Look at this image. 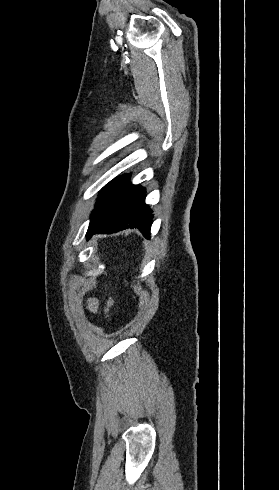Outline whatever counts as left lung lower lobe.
<instances>
[{"label":"left lung lower lobe","mask_w":279,"mask_h":490,"mask_svg":"<svg viewBox=\"0 0 279 490\" xmlns=\"http://www.w3.org/2000/svg\"><path fill=\"white\" fill-rule=\"evenodd\" d=\"M145 197V189L132 185L128 179L117 196L114 209L89 227L87 238L98 232L113 233L126 228H137L150 238L152 210L145 204Z\"/></svg>","instance_id":"1"}]
</instances>
